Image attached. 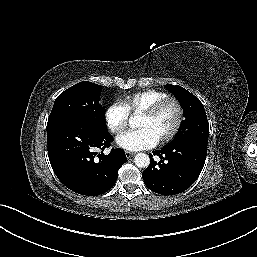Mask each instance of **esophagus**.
<instances>
[{
  "label": "esophagus",
  "instance_id": "1",
  "mask_svg": "<svg viewBox=\"0 0 257 257\" xmlns=\"http://www.w3.org/2000/svg\"><path fill=\"white\" fill-rule=\"evenodd\" d=\"M134 154H135V153L132 152V151H125V155H126L127 158L132 157Z\"/></svg>",
  "mask_w": 257,
  "mask_h": 257
}]
</instances>
